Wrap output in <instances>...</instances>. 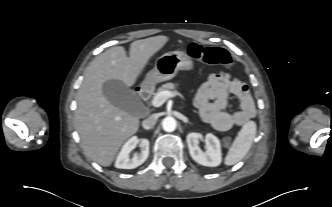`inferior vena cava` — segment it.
Returning a JSON list of instances; mask_svg holds the SVG:
<instances>
[{
    "mask_svg": "<svg viewBox=\"0 0 332 207\" xmlns=\"http://www.w3.org/2000/svg\"><path fill=\"white\" fill-rule=\"evenodd\" d=\"M156 121H157L156 116L151 115L142 122V126H143L144 129H151L155 126Z\"/></svg>",
    "mask_w": 332,
    "mask_h": 207,
    "instance_id": "obj_1",
    "label": "inferior vena cava"
}]
</instances>
